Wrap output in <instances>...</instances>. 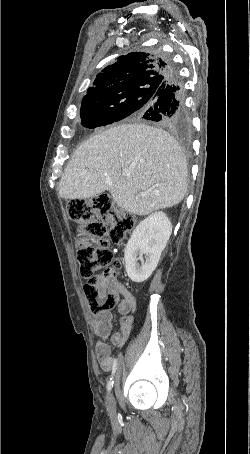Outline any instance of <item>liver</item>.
<instances>
[{
	"instance_id": "liver-1",
	"label": "liver",
	"mask_w": 250,
	"mask_h": 454,
	"mask_svg": "<svg viewBox=\"0 0 250 454\" xmlns=\"http://www.w3.org/2000/svg\"><path fill=\"white\" fill-rule=\"evenodd\" d=\"M187 186L186 159L168 132L122 124L76 149L62 174L59 195L86 199L109 190L119 207L143 216L179 204Z\"/></svg>"
}]
</instances>
